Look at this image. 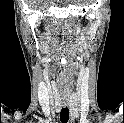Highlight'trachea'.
I'll return each mask as SVG.
<instances>
[{"mask_svg": "<svg viewBox=\"0 0 124 123\" xmlns=\"http://www.w3.org/2000/svg\"><path fill=\"white\" fill-rule=\"evenodd\" d=\"M69 120V109L68 107L62 108L60 112V121L62 123H67Z\"/></svg>", "mask_w": 124, "mask_h": 123, "instance_id": "1", "label": "trachea"}]
</instances>
